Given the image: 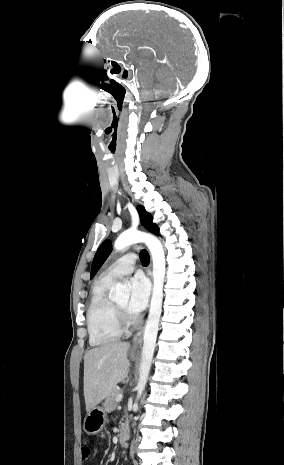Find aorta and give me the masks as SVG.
<instances>
[{"instance_id":"762f6f07","label":"aorta","mask_w":284,"mask_h":465,"mask_svg":"<svg viewBox=\"0 0 284 465\" xmlns=\"http://www.w3.org/2000/svg\"><path fill=\"white\" fill-rule=\"evenodd\" d=\"M143 242L148 247L153 262V291L150 303V311L143 335V347L139 370V380L136 386L137 397L134 403L136 407L138 400L146 386L149 376L152 358L154 354L156 338L158 333L160 316L162 313L163 285L166 270V261L163 246L160 240L148 233L136 230H128L118 236L114 243L117 251H122L128 246ZM111 297L115 301H127L129 289L126 285L118 282L111 290Z\"/></svg>"}]
</instances>
